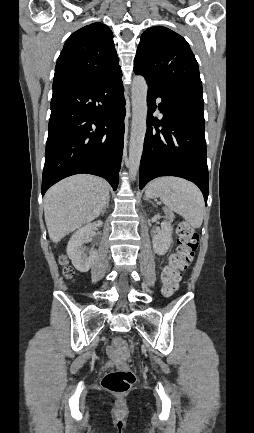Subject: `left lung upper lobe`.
<instances>
[{
  "instance_id": "obj_1",
  "label": "left lung upper lobe",
  "mask_w": 254,
  "mask_h": 433,
  "mask_svg": "<svg viewBox=\"0 0 254 433\" xmlns=\"http://www.w3.org/2000/svg\"><path fill=\"white\" fill-rule=\"evenodd\" d=\"M134 69L164 91L203 101L195 56L187 41L168 28L154 26L142 34Z\"/></svg>"
}]
</instances>
